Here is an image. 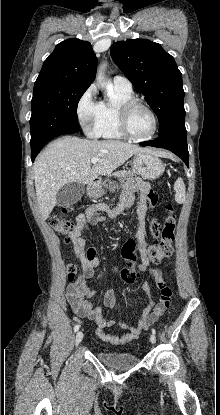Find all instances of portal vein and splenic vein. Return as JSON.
<instances>
[{"mask_svg":"<svg viewBox=\"0 0 220 415\" xmlns=\"http://www.w3.org/2000/svg\"><path fill=\"white\" fill-rule=\"evenodd\" d=\"M98 161H99V159H98V158H92L90 162H91L92 164H96Z\"/></svg>","mask_w":220,"mask_h":415,"instance_id":"1","label":"portal vein and splenic vein"}]
</instances>
